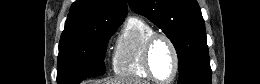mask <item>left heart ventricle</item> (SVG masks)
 Instances as JSON below:
<instances>
[{"label": "left heart ventricle", "mask_w": 260, "mask_h": 84, "mask_svg": "<svg viewBox=\"0 0 260 84\" xmlns=\"http://www.w3.org/2000/svg\"><path fill=\"white\" fill-rule=\"evenodd\" d=\"M151 64L156 77L160 80H168L173 74L174 58L168 43L159 39L152 51Z\"/></svg>", "instance_id": "obj_1"}]
</instances>
